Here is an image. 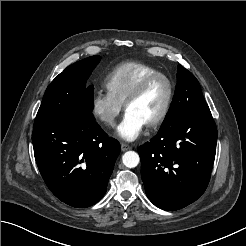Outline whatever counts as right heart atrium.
I'll list each match as a JSON object with an SVG mask.
<instances>
[{
  "mask_svg": "<svg viewBox=\"0 0 246 246\" xmlns=\"http://www.w3.org/2000/svg\"><path fill=\"white\" fill-rule=\"evenodd\" d=\"M122 110V104L110 93L97 91L91 100V113L94 118L107 127H113Z\"/></svg>",
  "mask_w": 246,
  "mask_h": 246,
  "instance_id": "d8ad5b80",
  "label": "right heart atrium"
}]
</instances>
